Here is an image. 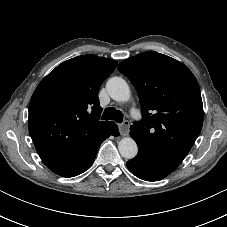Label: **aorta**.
Wrapping results in <instances>:
<instances>
[{
	"instance_id": "1",
	"label": "aorta",
	"mask_w": 227,
	"mask_h": 227,
	"mask_svg": "<svg viewBox=\"0 0 227 227\" xmlns=\"http://www.w3.org/2000/svg\"><path fill=\"white\" fill-rule=\"evenodd\" d=\"M109 96L118 102H126L130 99L131 92L127 82L121 77H112L106 84ZM118 150L126 159L134 158L138 153V146L131 137H124L118 143Z\"/></svg>"
}]
</instances>
